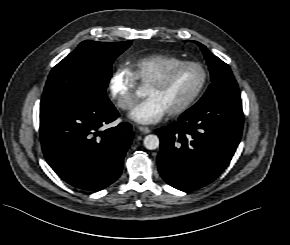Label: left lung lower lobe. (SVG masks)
<instances>
[{
	"instance_id": "1",
	"label": "left lung lower lobe",
	"mask_w": 290,
	"mask_h": 245,
	"mask_svg": "<svg viewBox=\"0 0 290 245\" xmlns=\"http://www.w3.org/2000/svg\"><path fill=\"white\" fill-rule=\"evenodd\" d=\"M243 129L241 100L195 104L160 138L158 170L172 187L190 192L214 181L228 166Z\"/></svg>"
}]
</instances>
